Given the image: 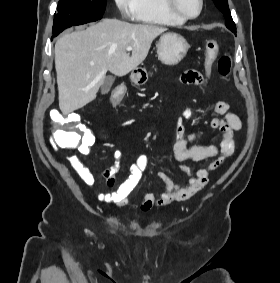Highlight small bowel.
Wrapping results in <instances>:
<instances>
[{
	"label": "small bowel",
	"instance_id": "small-bowel-1",
	"mask_svg": "<svg viewBox=\"0 0 280 283\" xmlns=\"http://www.w3.org/2000/svg\"><path fill=\"white\" fill-rule=\"evenodd\" d=\"M199 73L189 71L183 79L190 84L199 87H207L210 91L209 82H204ZM213 111L222 116L212 119L210 125L213 129L218 130L222 139L220 143L213 144H195L198 136L196 133H186L181 125L178 126L176 132V141L173 145V156L176 161L183 163L187 160L203 161L212 159L206 166L195 171L188 166L181 164V169L189 176V180L184 185L175 183L170 176L160 171L157 173L159 180L164 182L165 189L158 194L147 192L144 194L142 201L139 204L131 202V193L139 183L143 172L145 171L149 159L145 154H140L129 168V176L117 188L109 193L100 195V200L106 203H113L120 207L137 208L142 212H149L154 208L164 207L173 201H184L193 197L196 193L202 190L208 183L210 172L216 170L226 159L234 152V132L242 128V123L239 117L232 112H229V106L225 102H217L213 105ZM184 117H193L194 113L191 109H185L182 112ZM131 121L125 125L131 124ZM81 141L77 151L80 155L87 156L91 152V147L96 142V137L92 132H80ZM114 158L119 160L121 152L116 151ZM68 161L73 170L78 174L81 180L88 186H93L96 178L91 170L83 163L78 156H70ZM119 170V164L116 161L109 168L101 172V177L106 181L108 188L115 187V176Z\"/></svg>",
	"mask_w": 280,
	"mask_h": 283
}]
</instances>
